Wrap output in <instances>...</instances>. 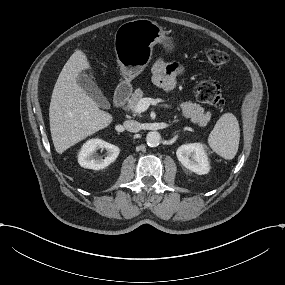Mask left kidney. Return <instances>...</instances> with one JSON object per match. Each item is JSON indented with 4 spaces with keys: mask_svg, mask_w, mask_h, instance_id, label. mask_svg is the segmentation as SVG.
<instances>
[{
    "mask_svg": "<svg viewBox=\"0 0 285 285\" xmlns=\"http://www.w3.org/2000/svg\"><path fill=\"white\" fill-rule=\"evenodd\" d=\"M176 155L184 167L196 174L203 175L210 171V162L202 143L181 145Z\"/></svg>",
    "mask_w": 285,
    "mask_h": 285,
    "instance_id": "5707ae66",
    "label": "left kidney"
}]
</instances>
